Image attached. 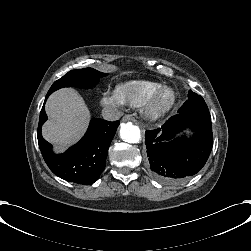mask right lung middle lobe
I'll list each match as a JSON object with an SVG mask.
<instances>
[{"instance_id": "obj_1", "label": "right lung middle lobe", "mask_w": 251, "mask_h": 251, "mask_svg": "<svg viewBox=\"0 0 251 251\" xmlns=\"http://www.w3.org/2000/svg\"><path fill=\"white\" fill-rule=\"evenodd\" d=\"M105 76H107L106 73L99 72L93 68L69 71L62 78L53 83L46 97L63 87L92 88L97 84L100 78Z\"/></svg>"}]
</instances>
